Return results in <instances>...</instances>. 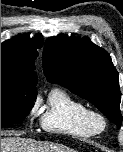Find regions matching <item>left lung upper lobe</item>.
Instances as JSON below:
<instances>
[{"label": "left lung upper lobe", "mask_w": 123, "mask_h": 152, "mask_svg": "<svg viewBox=\"0 0 123 152\" xmlns=\"http://www.w3.org/2000/svg\"><path fill=\"white\" fill-rule=\"evenodd\" d=\"M42 65L49 82L68 88L121 125L118 72L103 48L88 37H51L44 46Z\"/></svg>", "instance_id": "obj_1"}]
</instances>
